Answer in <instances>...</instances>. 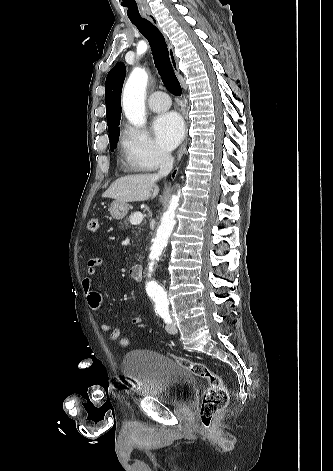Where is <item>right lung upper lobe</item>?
Returning <instances> with one entry per match:
<instances>
[{
	"label": "right lung upper lobe",
	"instance_id": "right-lung-upper-lobe-1",
	"mask_svg": "<svg viewBox=\"0 0 333 471\" xmlns=\"http://www.w3.org/2000/svg\"><path fill=\"white\" fill-rule=\"evenodd\" d=\"M125 78V65L117 63L108 73L106 78V117L108 130H113L120 124L121 119V90Z\"/></svg>",
	"mask_w": 333,
	"mask_h": 471
}]
</instances>
